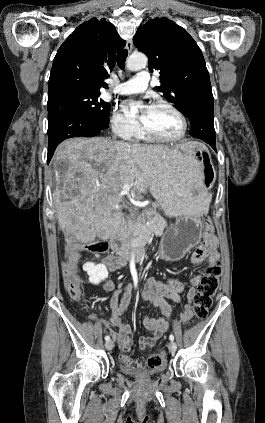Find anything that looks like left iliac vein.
<instances>
[{
    "label": "left iliac vein",
    "instance_id": "left-iliac-vein-1",
    "mask_svg": "<svg viewBox=\"0 0 265 423\" xmlns=\"http://www.w3.org/2000/svg\"><path fill=\"white\" fill-rule=\"evenodd\" d=\"M168 348H169V350H170V352H175L176 351V349H177V345H176V343L175 342H173V341H171L169 344H168Z\"/></svg>",
    "mask_w": 265,
    "mask_h": 423
}]
</instances>
